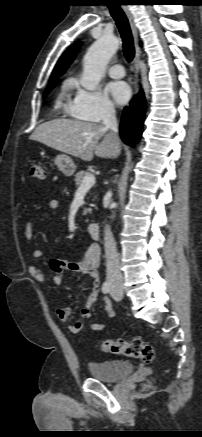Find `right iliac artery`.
Returning <instances> with one entry per match:
<instances>
[{
    "instance_id": "82829eb1",
    "label": "right iliac artery",
    "mask_w": 202,
    "mask_h": 437,
    "mask_svg": "<svg viewBox=\"0 0 202 437\" xmlns=\"http://www.w3.org/2000/svg\"><path fill=\"white\" fill-rule=\"evenodd\" d=\"M110 289H111L110 283L108 281L104 282L102 285V292L104 294H107L110 292Z\"/></svg>"
}]
</instances>
